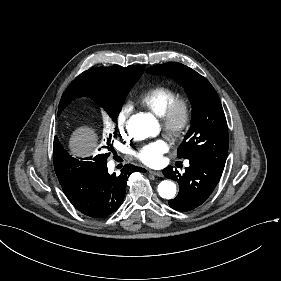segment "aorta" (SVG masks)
<instances>
[{
  "instance_id": "aorta-1",
  "label": "aorta",
  "mask_w": 281,
  "mask_h": 281,
  "mask_svg": "<svg viewBox=\"0 0 281 281\" xmlns=\"http://www.w3.org/2000/svg\"><path fill=\"white\" fill-rule=\"evenodd\" d=\"M129 133L138 140H144L159 132V124L152 115L137 114L130 118ZM158 193L162 198L173 199L176 195V185L173 181L164 180L158 185Z\"/></svg>"
}]
</instances>
